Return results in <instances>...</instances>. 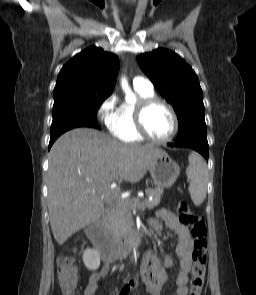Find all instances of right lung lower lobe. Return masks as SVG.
Instances as JSON below:
<instances>
[{
    "instance_id": "1",
    "label": "right lung lower lobe",
    "mask_w": 256,
    "mask_h": 295,
    "mask_svg": "<svg viewBox=\"0 0 256 295\" xmlns=\"http://www.w3.org/2000/svg\"><path fill=\"white\" fill-rule=\"evenodd\" d=\"M77 127H92V128H97L100 129V126H98L97 124V120H87L85 122H83L82 124H77V125H70V126H66V127H62V128H58V129H54L51 131L50 133V142H49V149L51 147V145L54 143V141L64 132L73 129V128H77Z\"/></svg>"
}]
</instances>
